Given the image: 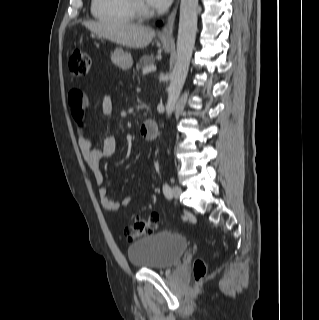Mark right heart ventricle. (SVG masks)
<instances>
[{"instance_id":"obj_1","label":"right heart ventricle","mask_w":319,"mask_h":320,"mask_svg":"<svg viewBox=\"0 0 319 320\" xmlns=\"http://www.w3.org/2000/svg\"><path fill=\"white\" fill-rule=\"evenodd\" d=\"M91 13L97 20L114 24H130L136 18L130 0H92Z\"/></svg>"}]
</instances>
